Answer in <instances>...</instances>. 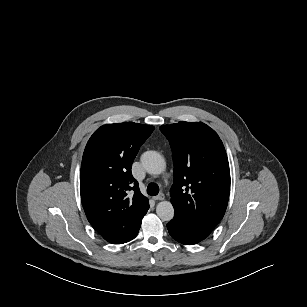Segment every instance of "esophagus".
Segmentation results:
<instances>
[{
  "mask_svg": "<svg viewBox=\"0 0 307 307\" xmlns=\"http://www.w3.org/2000/svg\"><path fill=\"white\" fill-rule=\"evenodd\" d=\"M164 198H165V195L163 193H160L157 196H154L153 200L160 201V200H164Z\"/></svg>",
  "mask_w": 307,
  "mask_h": 307,
  "instance_id": "obj_1",
  "label": "esophagus"
}]
</instances>
